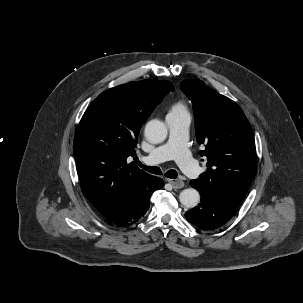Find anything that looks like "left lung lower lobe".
I'll return each instance as SVG.
<instances>
[{"label": "left lung lower lobe", "mask_w": 303, "mask_h": 303, "mask_svg": "<svg viewBox=\"0 0 303 303\" xmlns=\"http://www.w3.org/2000/svg\"><path fill=\"white\" fill-rule=\"evenodd\" d=\"M190 185L200 192L201 203L187 211L188 222L203 230H211L224 225L238 211L239 206L227 197L211 190L203 189L192 180Z\"/></svg>", "instance_id": "left-lung-lower-lobe-1"}]
</instances>
